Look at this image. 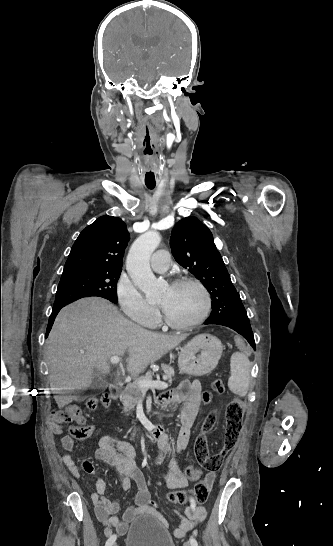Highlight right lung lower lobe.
Wrapping results in <instances>:
<instances>
[{"mask_svg":"<svg viewBox=\"0 0 333 546\" xmlns=\"http://www.w3.org/2000/svg\"><path fill=\"white\" fill-rule=\"evenodd\" d=\"M61 308H62V307L53 308L52 313H51L50 318H49V324H48V326H47V333H46V336H45V337L48 336V333H49V331L51 330V327H52V325H53V322H54V320H55V317H56V315L58 314V312L60 311Z\"/></svg>","mask_w":333,"mask_h":546,"instance_id":"98d812e1","label":"right lung lower lobe"}]
</instances>
